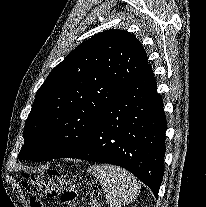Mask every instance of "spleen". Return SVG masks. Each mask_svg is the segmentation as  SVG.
<instances>
[{
	"label": "spleen",
	"mask_w": 206,
	"mask_h": 207,
	"mask_svg": "<svg viewBox=\"0 0 206 207\" xmlns=\"http://www.w3.org/2000/svg\"><path fill=\"white\" fill-rule=\"evenodd\" d=\"M103 189L110 207H122L133 202L140 191L138 180L128 171L113 165L99 164L88 167Z\"/></svg>",
	"instance_id": "1"
}]
</instances>
